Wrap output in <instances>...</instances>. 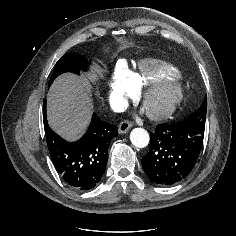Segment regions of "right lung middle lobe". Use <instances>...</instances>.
<instances>
[{"mask_svg":"<svg viewBox=\"0 0 236 236\" xmlns=\"http://www.w3.org/2000/svg\"><path fill=\"white\" fill-rule=\"evenodd\" d=\"M88 65L89 63L84 56L67 54L57 61L48 85L50 86L58 75L65 72H72L79 75L80 71H87Z\"/></svg>","mask_w":236,"mask_h":236,"instance_id":"obj_1","label":"right lung middle lobe"}]
</instances>
